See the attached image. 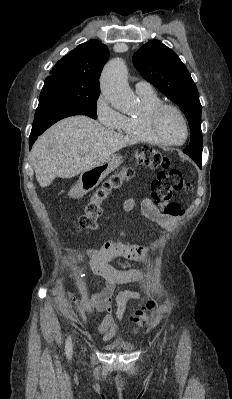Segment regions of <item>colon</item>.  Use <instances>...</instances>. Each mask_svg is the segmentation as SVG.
<instances>
[{"label": "colon", "mask_w": 232, "mask_h": 399, "mask_svg": "<svg viewBox=\"0 0 232 399\" xmlns=\"http://www.w3.org/2000/svg\"><path fill=\"white\" fill-rule=\"evenodd\" d=\"M143 165L150 166V168L166 167L163 155L159 150L149 145L142 146L128 166L124 167L122 171L116 172L108 180H104V185L97 187L88 196L82 209V215L76 219L77 226L83 230L95 232V228L98 226L96 218H100L104 214V209L101 207L103 199L111 196L120 185H126V180L135 177ZM154 185L161 186H151L152 194H160L161 196L190 194V187L187 186L188 182L183 180V175H177V170H172V175H154ZM168 202V198H154V203H162L161 212L166 214L167 218H180L181 214L184 213V210L181 209L182 203ZM71 235L79 236L80 232L72 231ZM151 301H157V296H151ZM159 315L160 310L156 306H151L138 319H135L136 323L132 326V334L136 338H141L145 334L146 327ZM134 318H137V315H134Z\"/></svg>", "instance_id": "colon-1"}]
</instances>
